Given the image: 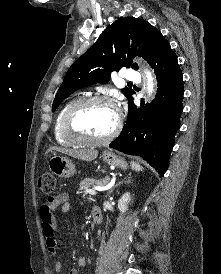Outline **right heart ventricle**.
<instances>
[{
	"label": "right heart ventricle",
	"mask_w": 221,
	"mask_h": 274,
	"mask_svg": "<svg viewBox=\"0 0 221 274\" xmlns=\"http://www.w3.org/2000/svg\"><path fill=\"white\" fill-rule=\"evenodd\" d=\"M76 100H70L68 102H66L58 111L56 118H55V122H54V128H53V133H54V137L55 140L61 144V145H66V146H70L75 144L73 141H71L70 139H68L63 131H62V119H63V115L65 113V111L67 110V108Z\"/></svg>",
	"instance_id": "e07e8e85"
}]
</instances>
